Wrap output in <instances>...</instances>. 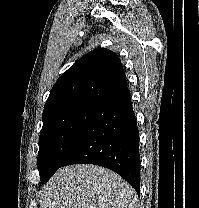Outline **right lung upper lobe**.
<instances>
[{"mask_svg":"<svg viewBox=\"0 0 199 208\" xmlns=\"http://www.w3.org/2000/svg\"><path fill=\"white\" fill-rule=\"evenodd\" d=\"M125 91L126 76L118 56L108 49H96L79 59L54 84L43 121L73 108L101 107Z\"/></svg>","mask_w":199,"mask_h":208,"instance_id":"1","label":"right lung upper lobe"}]
</instances>
